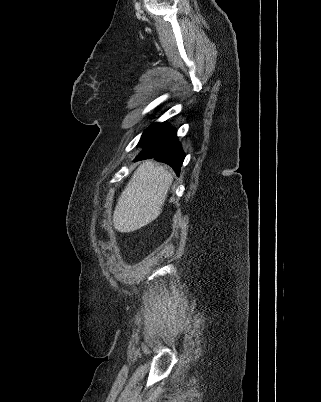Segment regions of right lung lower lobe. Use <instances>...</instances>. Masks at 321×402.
Here are the masks:
<instances>
[{
  "mask_svg": "<svg viewBox=\"0 0 321 402\" xmlns=\"http://www.w3.org/2000/svg\"><path fill=\"white\" fill-rule=\"evenodd\" d=\"M139 145L143 150L135 161L154 158L170 165L179 174L185 155L174 129L166 128L164 123H155L146 129Z\"/></svg>",
  "mask_w": 321,
  "mask_h": 402,
  "instance_id": "98d812e1",
  "label": "right lung lower lobe"
}]
</instances>
